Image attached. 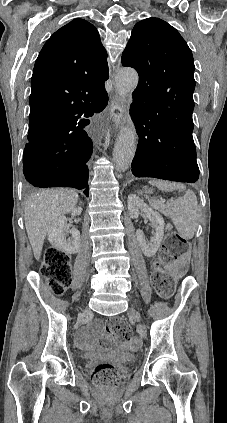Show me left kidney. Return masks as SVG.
I'll list each match as a JSON object with an SVG mask.
<instances>
[{"instance_id":"left-kidney-1","label":"left kidney","mask_w":227,"mask_h":423,"mask_svg":"<svg viewBox=\"0 0 227 423\" xmlns=\"http://www.w3.org/2000/svg\"><path fill=\"white\" fill-rule=\"evenodd\" d=\"M127 204L131 217H138L140 211H144L146 217H149L152 227H155L154 237H152L150 241H146L142 229H136V237L144 255H146V257H152L161 245L165 221L158 211L148 208L143 200H140L135 194H130V196H128Z\"/></svg>"}]
</instances>
